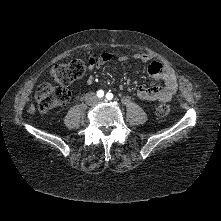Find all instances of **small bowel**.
Returning a JSON list of instances; mask_svg holds the SVG:
<instances>
[{"label": "small bowel", "instance_id": "c3829d8e", "mask_svg": "<svg viewBox=\"0 0 221 221\" xmlns=\"http://www.w3.org/2000/svg\"><path fill=\"white\" fill-rule=\"evenodd\" d=\"M131 58L142 63H148V74L153 81L150 87L144 85L138 87L137 96L140 99L145 101L168 102L175 96L178 90V82L176 74L171 67L157 61H152V57L146 53H135L131 57L127 55L117 57L121 62H126ZM112 59L113 54L109 52L93 53L89 57L88 67L92 70ZM160 81L164 83L163 86L158 84ZM92 82V78L87 80L88 84Z\"/></svg>", "mask_w": 221, "mask_h": 221}]
</instances>
